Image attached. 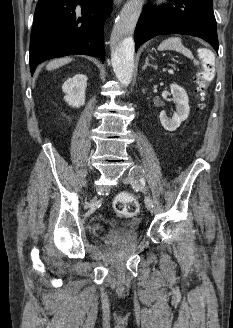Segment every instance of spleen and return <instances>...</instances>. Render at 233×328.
Listing matches in <instances>:
<instances>
[{"label": "spleen", "mask_w": 233, "mask_h": 328, "mask_svg": "<svg viewBox=\"0 0 233 328\" xmlns=\"http://www.w3.org/2000/svg\"><path fill=\"white\" fill-rule=\"evenodd\" d=\"M158 50H173L183 54L185 57L193 59L194 65H199L198 61L193 58L192 52L190 49L186 48L182 44V40L179 37H170L164 40L159 46Z\"/></svg>", "instance_id": "3e777b00"}]
</instances>
